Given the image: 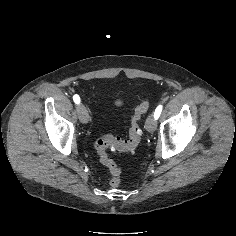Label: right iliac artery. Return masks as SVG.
Wrapping results in <instances>:
<instances>
[{
  "label": "right iliac artery",
  "mask_w": 236,
  "mask_h": 236,
  "mask_svg": "<svg viewBox=\"0 0 236 236\" xmlns=\"http://www.w3.org/2000/svg\"><path fill=\"white\" fill-rule=\"evenodd\" d=\"M73 100L76 104H79L80 103V97L78 95H74L73 96Z\"/></svg>",
  "instance_id": "obj_1"
}]
</instances>
